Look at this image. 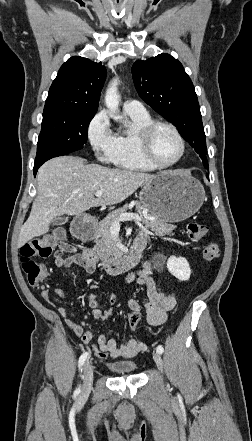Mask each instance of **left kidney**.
<instances>
[{
  "instance_id": "obj_1",
  "label": "left kidney",
  "mask_w": 252,
  "mask_h": 441,
  "mask_svg": "<svg viewBox=\"0 0 252 441\" xmlns=\"http://www.w3.org/2000/svg\"><path fill=\"white\" fill-rule=\"evenodd\" d=\"M168 271L180 281H187L191 275L188 261L183 257L170 256L167 260Z\"/></svg>"
}]
</instances>
